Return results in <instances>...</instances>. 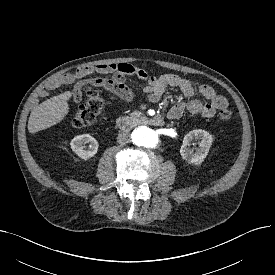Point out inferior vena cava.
Here are the masks:
<instances>
[{
  "label": "inferior vena cava",
  "instance_id": "obj_1",
  "mask_svg": "<svg viewBox=\"0 0 275 275\" xmlns=\"http://www.w3.org/2000/svg\"><path fill=\"white\" fill-rule=\"evenodd\" d=\"M131 141L130 134L128 132H121L117 136V142L121 145H125Z\"/></svg>",
  "mask_w": 275,
  "mask_h": 275
}]
</instances>
